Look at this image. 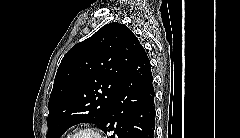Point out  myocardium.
Here are the masks:
<instances>
[{
	"label": "myocardium",
	"instance_id": "1",
	"mask_svg": "<svg viewBox=\"0 0 240 138\" xmlns=\"http://www.w3.org/2000/svg\"><path fill=\"white\" fill-rule=\"evenodd\" d=\"M84 133H89L93 138H102V134L94 127H83L77 130L71 138H78Z\"/></svg>",
	"mask_w": 240,
	"mask_h": 138
}]
</instances>
